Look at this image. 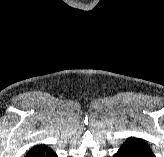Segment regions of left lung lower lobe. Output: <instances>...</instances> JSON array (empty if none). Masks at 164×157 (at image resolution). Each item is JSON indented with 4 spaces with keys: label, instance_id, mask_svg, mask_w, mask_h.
<instances>
[{
    "label": "left lung lower lobe",
    "instance_id": "0a47b994",
    "mask_svg": "<svg viewBox=\"0 0 164 157\" xmlns=\"http://www.w3.org/2000/svg\"><path fill=\"white\" fill-rule=\"evenodd\" d=\"M113 157H155V155L144 140L131 137Z\"/></svg>",
    "mask_w": 164,
    "mask_h": 157
}]
</instances>
